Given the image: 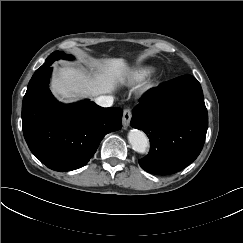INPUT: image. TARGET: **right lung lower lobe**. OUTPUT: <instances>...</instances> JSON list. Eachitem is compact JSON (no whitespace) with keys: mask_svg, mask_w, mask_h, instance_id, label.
<instances>
[{"mask_svg":"<svg viewBox=\"0 0 243 243\" xmlns=\"http://www.w3.org/2000/svg\"><path fill=\"white\" fill-rule=\"evenodd\" d=\"M51 62L32 76L22 103V125L31 152L48 168L72 171L86 165L103 137L122 127L123 111L89 100L58 102L49 90Z\"/></svg>","mask_w":243,"mask_h":243,"instance_id":"obj_1","label":"right lung lower lobe"}]
</instances>
